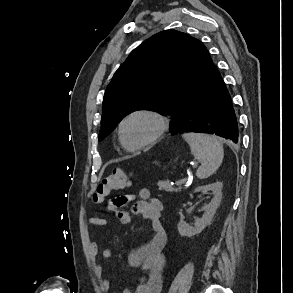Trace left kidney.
I'll use <instances>...</instances> for the list:
<instances>
[{"label": "left kidney", "mask_w": 293, "mask_h": 293, "mask_svg": "<svg viewBox=\"0 0 293 293\" xmlns=\"http://www.w3.org/2000/svg\"><path fill=\"white\" fill-rule=\"evenodd\" d=\"M222 187L223 184L221 182H215L212 184L199 186L195 189V193L208 190L212 191L214 196L209 204L203 206L202 210L204 211V214L201 218H195L194 226L187 224L184 220L179 221L177 229L181 236L192 237L196 234H199L206 226L211 223V220L221 201Z\"/></svg>", "instance_id": "obj_1"}]
</instances>
